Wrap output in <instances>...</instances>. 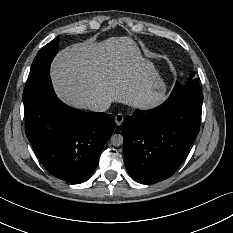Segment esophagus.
<instances>
[{"mask_svg": "<svg viewBox=\"0 0 233 233\" xmlns=\"http://www.w3.org/2000/svg\"><path fill=\"white\" fill-rule=\"evenodd\" d=\"M123 120H124L123 114L119 113L115 116V123L117 124V126H120Z\"/></svg>", "mask_w": 233, "mask_h": 233, "instance_id": "1", "label": "esophagus"}]
</instances>
